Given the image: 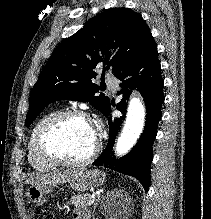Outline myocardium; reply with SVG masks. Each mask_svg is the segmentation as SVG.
Masks as SVG:
<instances>
[{
  "instance_id": "f54148a6",
  "label": "myocardium",
  "mask_w": 211,
  "mask_h": 219,
  "mask_svg": "<svg viewBox=\"0 0 211 219\" xmlns=\"http://www.w3.org/2000/svg\"><path fill=\"white\" fill-rule=\"evenodd\" d=\"M69 118H77L89 122V117L83 111L68 109L59 111L50 116L39 128L35 139V151L44 161L54 166L81 167L93 162L100 151V142L97 140L93 151L80 160L67 159L54 151L51 145V134L62 121Z\"/></svg>"
}]
</instances>
